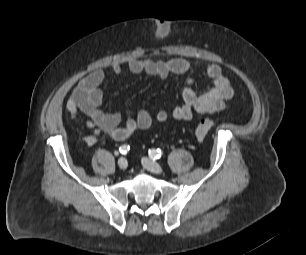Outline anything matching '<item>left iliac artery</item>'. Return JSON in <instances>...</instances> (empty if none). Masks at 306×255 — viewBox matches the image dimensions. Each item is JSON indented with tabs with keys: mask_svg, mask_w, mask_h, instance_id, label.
Segmentation results:
<instances>
[{
	"mask_svg": "<svg viewBox=\"0 0 306 255\" xmlns=\"http://www.w3.org/2000/svg\"><path fill=\"white\" fill-rule=\"evenodd\" d=\"M148 154L150 158L155 160L162 156V151L160 149H149Z\"/></svg>",
	"mask_w": 306,
	"mask_h": 255,
	"instance_id": "44dca946",
	"label": "left iliac artery"
}]
</instances>
